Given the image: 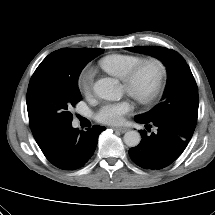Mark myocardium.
Listing matches in <instances>:
<instances>
[{
    "instance_id": "f54148a6",
    "label": "myocardium",
    "mask_w": 215,
    "mask_h": 215,
    "mask_svg": "<svg viewBox=\"0 0 215 215\" xmlns=\"http://www.w3.org/2000/svg\"><path fill=\"white\" fill-rule=\"evenodd\" d=\"M148 65H153L156 68L157 74L152 89L148 93L143 94L137 90L136 82L140 72ZM166 75L167 67L162 59L158 57H146L135 64L129 70L122 81L126 92L132 98H134L138 103L142 105H148L153 103L161 94L164 87Z\"/></svg>"
}]
</instances>
